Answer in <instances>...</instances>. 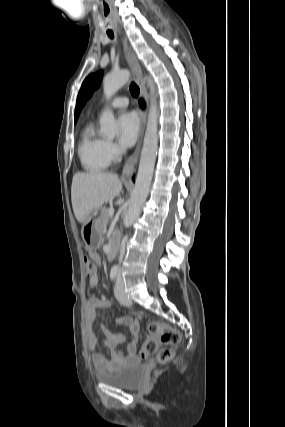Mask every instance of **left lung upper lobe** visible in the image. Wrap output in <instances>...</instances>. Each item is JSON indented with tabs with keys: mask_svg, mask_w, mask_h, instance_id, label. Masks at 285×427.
<instances>
[{
	"mask_svg": "<svg viewBox=\"0 0 285 427\" xmlns=\"http://www.w3.org/2000/svg\"><path fill=\"white\" fill-rule=\"evenodd\" d=\"M102 78V72L89 75L83 82L81 89L77 97V103L75 108V122L79 116V113L86 103L87 99L92 95L93 91L99 86Z\"/></svg>",
	"mask_w": 285,
	"mask_h": 427,
	"instance_id": "obj_1",
	"label": "left lung upper lobe"
}]
</instances>
